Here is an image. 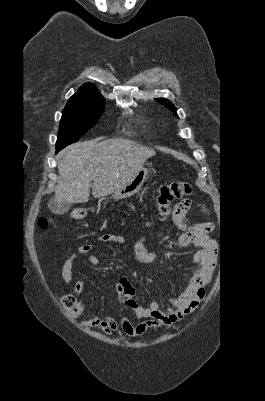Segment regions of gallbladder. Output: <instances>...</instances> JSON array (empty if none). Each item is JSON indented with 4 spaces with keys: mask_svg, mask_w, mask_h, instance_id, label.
Masks as SVG:
<instances>
[{
    "mask_svg": "<svg viewBox=\"0 0 265 401\" xmlns=\"http://www.w3.org/2000/svg\"><path fill=\"white\" fill-rule=\"evenodd\" d=\"M48 207L54 215H65L72 207V203H56L55 198H50Z\"/></svg>",
    "mask_w": 265,
    "mask_h": 401,
    "instance_id": "obj_1",
    "label": "gallbladder"
}]
</instances>
